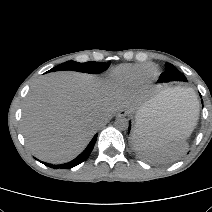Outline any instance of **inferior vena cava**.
<instances>
[{
    "label": "inferior vena cava",
    "instance_id": "1",
    "mask_svg": "<svg viewBox=\"0 0 212 212\" xmlns=\"http://www.w3.org/2000/svg\"><path fill=\"white\" fill-rule=\"evenodd\" d=\"M103 122H104V121H100V122H99V125L102 124Z\"/></svg>",
    "mask_w": 212,
    "mask_h": 212
}]
</instances>
